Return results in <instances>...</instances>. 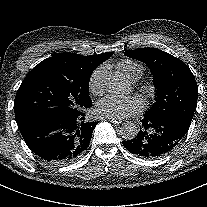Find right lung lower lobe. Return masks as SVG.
<instances>
[{
  "label": "right lung lower lobe",
  "mask_w": 207,
  "mask_h": 207,
  "mask_svg": "<svg viewBox=\"0 0 207 207\" xmlns=\"http://www.w3.org/2000/svg\"><path fill=\"white\" fill-rule=\"evenodd\" d=\"M98 122L78 117H39L18 124L27 146L42 160L63 165L81 156Z\"/></svg>",
  "instance_id": "1"
}]
</instances>
